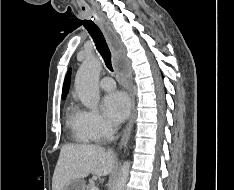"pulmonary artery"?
Here are the masks:
<instances>
[{"label": "pulmonary artery", "mask_w": 234, "mask_h": 190, "mask_svg": "<svg viewBox=\"0 0 234 190\" xmlns=\"http://www.w3.org/2000/svg\"><path fill=\"white\" fill-rule=\"evenodd\" d=\"M115 86V82L110 76H105L100 80V87L105 91H111Z\"/></svg>", "instance_id": "obj_1"}]
</instances>
